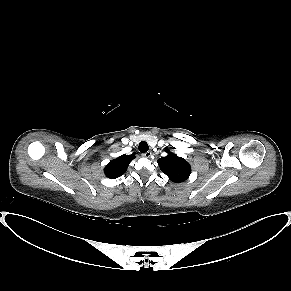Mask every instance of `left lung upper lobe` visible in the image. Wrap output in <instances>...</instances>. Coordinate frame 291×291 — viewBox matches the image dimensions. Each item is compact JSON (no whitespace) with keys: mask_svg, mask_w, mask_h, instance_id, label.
Wrapping results in <instances>:
<instances>
[{"mask_svg":"<svg viewBox=\"0 0 291 291\" xmlns=\"http://www.w3.org/2000/svg\"><path fill=\"white\" fill-rule=\"evenodd\" d=\"M167 153V156L158 159L161 171L173 182L187 180L191 174L190 164L182 157L172 154L169 150H167Z\"/></svg>","mask_w":291,"mask_h":291,"instance_id":"left-lung-upper-lobe-1","label":"left lung upper lobe"}]
</instances>
